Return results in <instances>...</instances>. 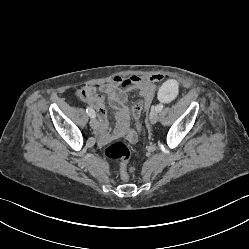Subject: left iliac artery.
<instances>
[{
	"instance_id": "obj_1",
	"label": "left iliac artery",
	"mask_w": 249,
	"mask_h": 249,
	"mask_svg": "<svg viewBox=\"0 0 249 249\" xmlns=\"http://www.w3.org/2000/svg\"><path fill=\"white\" fill-rule=\"evenodd\" d=\"M164 108V106L162 104H158L156 107H155V110L157 112H160L162 109Z\"/></svg>"
}]
</instances>
